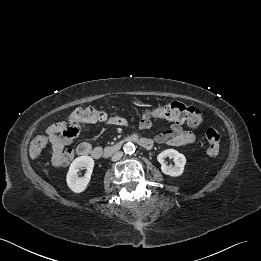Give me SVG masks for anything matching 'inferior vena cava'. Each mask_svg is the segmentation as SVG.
<instances>
[{
	"label": "inferior vena cava",
	"mask_w": 261,
	"mask_h": 261,
	"mask_svg": "<svg viewBox=\"0 0 261 261\" xmlns=\"http://www.w3.org/2000/svg\"><path fill=\"white\" fill-rule=\"evenodd\" d=\"M122 156H123V152H117V153H115L113 156H112V161H118V160H120L121 158H122Z\"/></svg>",
	"instance_id": "inferior-vena-cava-1"
}]
</instances>
